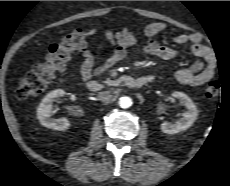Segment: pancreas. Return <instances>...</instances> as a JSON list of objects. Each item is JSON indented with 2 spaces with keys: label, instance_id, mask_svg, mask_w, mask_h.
<instances>
[{
  "label": "pancreas",
  "instance_id": "1",
  "mask_svg": "<svg viewBox=\"0 0 230 186\" xmlns=\"http://www.w3.org/2000/svg\"><path fill=\"white\" fill-rule=\"evenodd\" d=\"M103 83H105L108 86H118L120 85V80L116 79V80H111V79H106L103 81Z\"/></svg>",
  "mask_w": 230,
  "mask_h": 186
}]
</instances>
